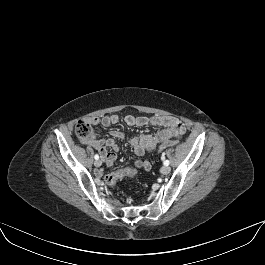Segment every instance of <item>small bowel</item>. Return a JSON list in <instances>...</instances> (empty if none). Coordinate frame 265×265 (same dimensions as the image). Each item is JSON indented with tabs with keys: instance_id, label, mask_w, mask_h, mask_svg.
Returning <instances> with one entry per match:
<instances>
[{
	"instance_id": "small-bowel-1",
	"label": "small bowel",
	"mask_w": 265,
	"mask_h": 265,
	"mask_svg": "<svg viewBox=\"0 0 265 265\" xmlns=\"http://www.w3.org/2000/svg\"><path fill=\"white\" fill-rule=\"evenodd\" d=\"M92 125H102L103 127H109L115 125L119 121L117 115H107L102 118L91 117L88 119ZM125 122L129 126L142 127L145 125H153L162 127L158 133L154 135L145 134L140 137L130 136L127 137L123 132L119 130H112L110 132L111 138L106 140L98 139L88 142L93 146L104 158L107 166H112L116 160V151L118 150L117 139H127L129 144L133 147L135 154L143 156L148 152L153 151L157 146L163 142L170 141L174 138H180L185 133V126L179 120L169 116H133L128 115L125 117ZM110 148L111 150H107ZM135 166L139 169L149 171L151 164L147 160H139L135 163ZM98 175L101 172H97Z\"/></svg>"
}]
</instances>
